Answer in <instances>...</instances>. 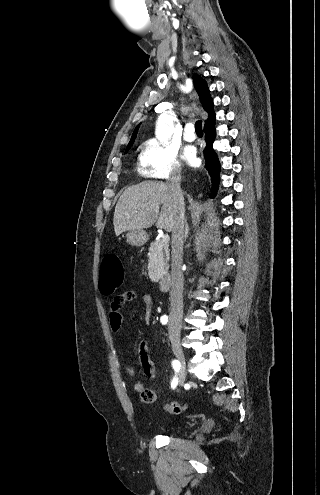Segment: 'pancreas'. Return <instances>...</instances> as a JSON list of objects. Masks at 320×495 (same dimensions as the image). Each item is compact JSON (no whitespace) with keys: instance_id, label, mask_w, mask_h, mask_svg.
Segmentation results:
<instances>
[{"instance_id":"obj_1","label":"pancreas","mask_w":320,"mask_h":495,"mask_svg":"<svg viewBox=\"0 0 320 495\" xmlns=\"http://www.w3.org/2000/svg\"><path fill=\"white\" fill-rule=\"evenodd\" d=\"M148 275L152 282H158L169 269L168 245L162 243V239L155 240L149 247Z\"/></svg>"}]
</instances>
